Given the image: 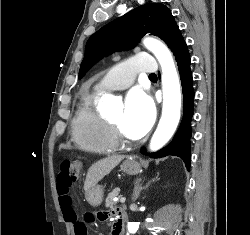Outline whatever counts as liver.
I'll use <instances>...</instances> for the list:
<instances>
[{
	"label": "liver",
	"mask_w": 250,
	"mask_h": 235,
	"mask_svg": "<svg viewBox=\"0 0 250 235\" xmlns=\"http://www.w3.org/2000/svg\"><path fill=\"white\" fill-rule=\"evenodd\" d=\"M124 159L122 155H114L94 163L88 170L84 182V190L87 192L108 175Z\"/></svg>",
	"instance_id": "obj_1"
}]
</instances>
